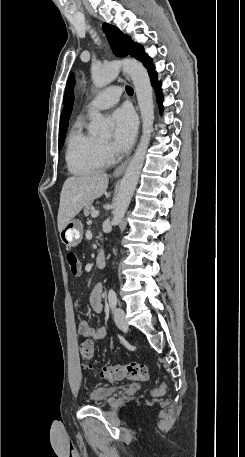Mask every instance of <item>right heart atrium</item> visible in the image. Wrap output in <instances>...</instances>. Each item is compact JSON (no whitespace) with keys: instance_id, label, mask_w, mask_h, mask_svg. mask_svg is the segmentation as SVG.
<instances>
[{"instance_id":"obj_1","label":"right heart atrium","mask_w":245,"mask_h":457,"mask_svg":"<svg viewBox=\"0 0 245 457\" xmlns=\"http://www.w3.org/2000/svg\"><path fill=\"white\" fill-rule=\"evenodd\" d=\"M102 150H103L104 153H106L108 155L112 154L111 148L109 146H107V145H102Z\"/></svg>"}]
</instances>
